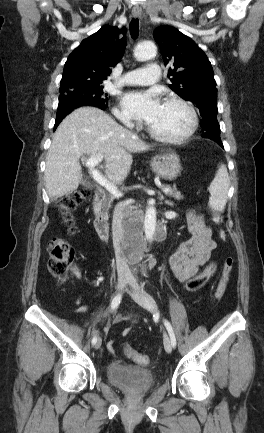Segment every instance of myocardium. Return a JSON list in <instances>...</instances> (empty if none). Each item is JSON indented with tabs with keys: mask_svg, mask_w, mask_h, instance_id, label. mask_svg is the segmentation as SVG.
I'll return each mask as SVG.
<instances>
[{
	"mask_svg": "<svg viewBox=\"0 0 264 433\" xmlns=\"http://www.w3.org/2000/svg\"><path fill=\"white\" fill-rule=\"evenodd\" d=\"M164 103H172L177 104L181 107H183L190 116V123L188 129L179 136H165L162 134H159L158 132L154 131L149 125L147 126V132L151 137L154 139L167 143V144H181L187 141L196 131L198 127V115L194 107L189 104L186 100L177 97V96H168L164 99Z\"/></svg>",
	"mask_w": 264,
	"mask_h": 433,
	"instance_id": "obj_1",
	"label": "myocardium"
}]
</instances>
